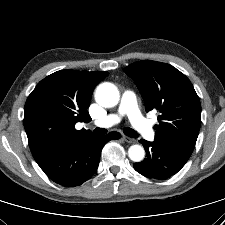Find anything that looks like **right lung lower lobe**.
<instances>
[{"instance_id": "right-lung-lower-lobe-1", "label": "right lung lower lobe", "mask_w": 225, "mask_h": 225, "mask_svg": "<svg viewBox=\"0 0 225 225\" xmlns=\"http://www.w3.org/2000/svg\"><path fill=\"white\" fill-rule=\"evenodd\" d=\"M121 134H90L80 138L63 139L34 156L44 173L64 187L79 186L90 179L99 165L103 146Z\"/></svg>"}]
</instances>
